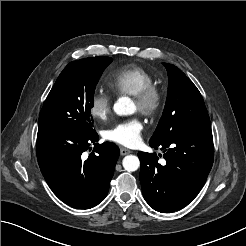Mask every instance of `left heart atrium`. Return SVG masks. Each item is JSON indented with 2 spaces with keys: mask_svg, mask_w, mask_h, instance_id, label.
Here are the masks:
<instances>
[{
  "mask_svg": "<svg viewBox=\"0 0 246 246\" xmlns=\"http://www.w3.org/2000/svg\"><path fill=\"white\" fill-rule=\"evenodd\" d=\"M142 122L138 118L122 121L104 133L105 139L127 147H134L141 141Z\"/></svg>",
  "mask_w": 246,
  "mask_h": 246,
  "instance_id": "1",
  "label": "left heart atrium"
}]
</instances>
